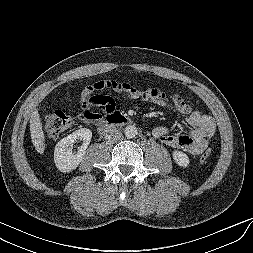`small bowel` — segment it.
I'll use <instances>...</instances> for the list:
<instances>
[{
    "mask_svg": "<svg viewBox=\"0 0 253 253\" xmlns=\"http://www.w3.org/2000/svg\"><path fill=\"white\" fill-rule=\"evenodd\" d=\"M104 89L121 94L129 100L150 102L159 107H173L179 113L186 115V121L192 127L189 132L173 134L167 127L158 126L153 129L152 135L161 143L171 148L180 149L191 156L201 154L208 147L210 139L216 132L214 119L194 110L179 95L168 96L158 88H148L141 91L129 83L113 79L96 81L83 89L80 97L82 113L79 115V119L86 125L96 124L101 120L102 113L114 114L115 101L109 96L98 94ZM93 108L101 110L102 113L98 115V110L95 111ZM94 116L97 118H93Z\"/></svg>",
    "mask_w": 253,
    "mask_h": 253,
    "instance_id": "obj_1",
    "label": "small bowel"
}]
</instances>
